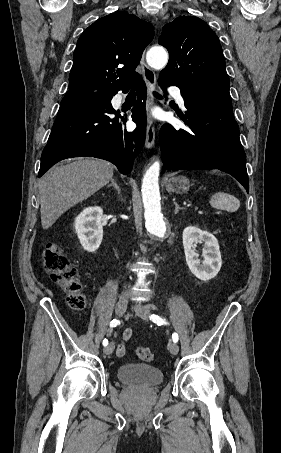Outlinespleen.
Listing matches in <instances>:
<instances>
[{
	"instance_id": "3e777b00",
	"label": "spleen",
	"mask_w": 281,
	"mask_h": 453,
	"mask_svg": "<svg viewBox=\"0 0 281 453\" xmlns=\"http://www.w3.org/2000/svg\"><path fill=\"white\" fill-rule=\"evenodd\" d=\"M210 204L214 208H220V210L235 212L240 206V200L236 196H233V194H227V192H215L210 200Z\"/></svg>"
}]
</instances>
